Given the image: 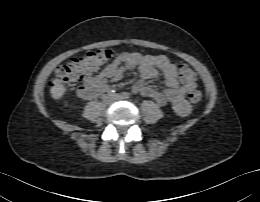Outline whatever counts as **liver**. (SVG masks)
Returning <instances> with one entry per match:
<instances>
[{"label": "liver", "mask_w": 260, "mask_h": 202, "mask_svg": "<svg viewBox=\"0 0 260 202\" xmlns=\"http://www.w3.org/2000/svg\"><path fill=\"white\" fill-rule=\"evenodd\" d=\"M54 86L51 87L50 93L53 99L59 100L66 92V87L60 82V80H53Z\"/></svg>", "instance_id": "6515ba94"}]
</instances>
